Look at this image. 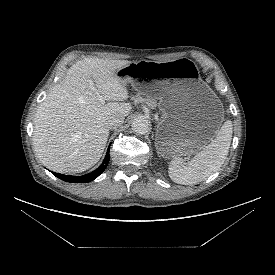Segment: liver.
<instances>
[{
	"label": "liver",
	"instance_id": "liver-1",
	"mask_svg": "<svg viewBox=\"0 0 275 275\" xmlns=\"http://www.w3.org/2000/svg\"><path fill=\"white\" fill-rule=\"evenodd\" d=\"M128 60L85 58L68 69L40 104L34 119L33 144L50 170L79 173L101 158L109 135L106 121L112 114L127 116L132 106L128 89L117 71ZM89 80L109 101L101 104Z\"/></svg>",
	"mask_w": 275,
	"mask_h": 275
}]
</instances>
